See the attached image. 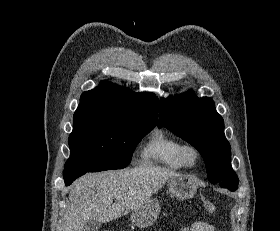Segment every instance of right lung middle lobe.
<instances>
[{
	"mask_svg": "<svg viewBox=\"0 0 280 231\" xmlns=\"http://www.w3.org/2000/svg\"><path fill=\"white\" fill-rule=\"evenodd\" d=\"M155 126L113 118L73 119L65 171L98 172L130 164L134 149Z\"/></svg>",
	"mask_w": 280,
	"mask_h": 231,
	"instance_id": "obj_1",
	"label": "right lung middle lobe"
}]
</instances>
